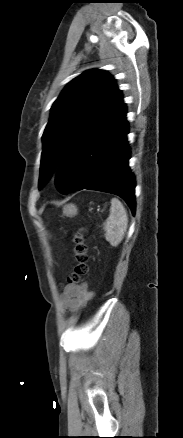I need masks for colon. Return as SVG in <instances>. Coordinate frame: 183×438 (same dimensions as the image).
I'll use <instances>...</instances> for the list:
<instances>
[{
	"label": "colon",
	"instance_id": "colon-1",
	"mask_svg": "<svg viewBox=\"0 0 183 438\" xmlns=\"http://www.w3.org/2000/svg\"><path fill=\"white\" fill-rule=\"evenodd\" d=\"M74 255L77 261L72 273L67 278L69 284H77L81 277L87 272V253L86 245L83 241V230H79L73 238Z\"/></svg>",
	"mask_w": 183,
	"mask_h": 438
}]
</instances>
